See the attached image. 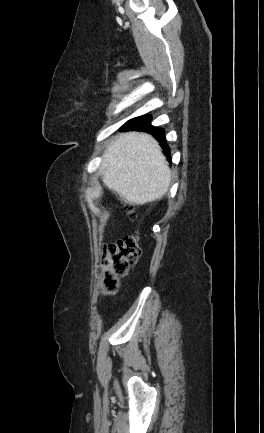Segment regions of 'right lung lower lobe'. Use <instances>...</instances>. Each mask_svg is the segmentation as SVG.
Wrapping results in <instances>:
<instances>
[{
  "label": "right lung lower lobe",
  "instance_id": "obj_1",
  "mask_svg": "<svg viewBox=\"0 0 264 433\" xmlns=\"http://www.w3.org/2000/svg\"><path fill=\"white\" fill-rule=\"evenodd\" d=\"M151 116L145 115L141 117L134 118L130 121H128L123 127L122 131H128V130H136V131H147L148 133L155 136L157 140L160 141L161 145L167 148L166 141H165V134L163 129L156 128L150 124Z\"/></svg>",
  "mask_w": 264,
  "mask_h": 433
}]
</instances>
